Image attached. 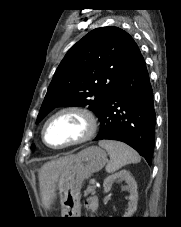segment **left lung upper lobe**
<instances>
[{
  "label": "left lung upper lobe",
  "mask_w": 181,
  "mask_h": 227,
  "mask_svg": "<svg viewBox=\"0 0 181 227\" xmlns=\"http://www.w3.org/2000/svg\"><path fill=\"white\" fill-rule=\"evenodd\" d=\"M138 51L132 37L118 27L89 32L66 53L58 66L36 124L55 107L69 105H88L100 119Z\"/></svg>",
  "instance_id": "5c2ea615"
}]
</instances>
